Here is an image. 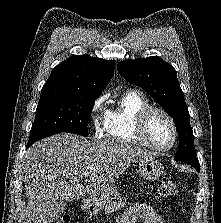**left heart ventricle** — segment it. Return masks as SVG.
I'll return each instance as SVG.
<instances>
[{
	"label": "left heart ventricle",
	"instance_id": "obj_1",
	"mask_svg": "<svg viewBox=\"0 0 221 223\" xmlns=\"http://www.w3.org/2000/svg\"><path fill=\"white\" fill-rule=\"evenodd\" d=\"M148 137L158 146H167L173 139L169 121L160 113H154L148 122Z\"/></svg>",
	"mask_w": 221,
	"mask_h": 223
}]
</instances>
